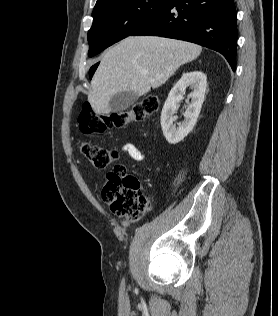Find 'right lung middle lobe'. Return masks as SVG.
Masks as SVG:
<instances>
[{
    "instance_id": "dd1d6c3e",
    "label": "right lung middle lobe",
    "mask_w": 278,
    "mask_h": 316,
    "mask_svg": "<svg viewBox=\"0 0 278 316\" xmlns=\"http://www.w3.org/2000/svg\"><path fill=\"white\" fill-rule=\"evenodd\" d=\"M165 0H106L94 7L88 32L89 56H94L132 35L163 5ZM95 68L90 69L92 77Z\"/></svg>"
}]
</instances>
